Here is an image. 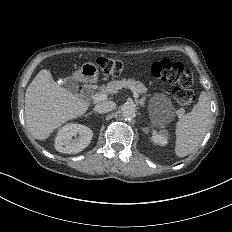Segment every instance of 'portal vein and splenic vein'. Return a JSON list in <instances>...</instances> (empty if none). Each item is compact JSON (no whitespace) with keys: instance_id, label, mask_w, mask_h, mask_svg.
<instances>
[{"instance_id":"portal-vein-and-splenic-vein-1","label":"portal vein and splenic vein","mask_w":232,"mask_h":232,"mask_svg":"<svg viewBox=\"0 0 232 232\" xmlns=\"http://www.w3.org/2000/svg\"><path fill=\"white\" fill-rule=\"evenodd\" d=\"M133 96H134V98H138V94L136 92H134ZM107 97H108V94H105V93H96L95 95L92 96V99L95 102H99V101L106 100Z\"/></svg>"}]
</instances>
